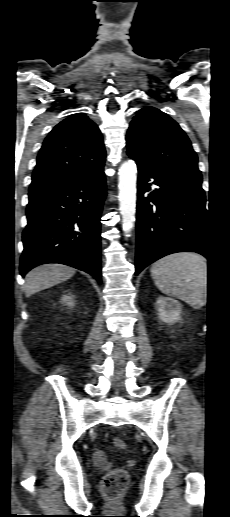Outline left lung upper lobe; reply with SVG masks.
I'll return each instance as SVG.
<instances>
[{"instance_id":"obj_1","label":"left lung upper lobe","mask_w":230,"mask_h":517,"mask_svg":"<svg viewBox=\"0 0 230 517\" xmlns=\"http://www.w3.org/2000/svg\"><path fill=\"white\" fill-rule=\"evenodd\" d=\"M127 153L139 164L182 179L202 181L198 158L180 126L154 107L138 111L127 132Z\"/></svg>"}]
</instances>
